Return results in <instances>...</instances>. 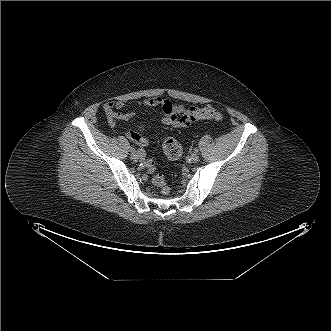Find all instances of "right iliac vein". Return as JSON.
Segmentation results:
<instances>
[{"mask_svg": "<svg viewBox=\"0 0 331 331\" xmlns=\"http://www.w3.org/2000/svg\"><path fill=\"white\" fill-rule=\"evenodd\" d=\"M131 158L135 161L139 160L141 158V154L139 152H133L131 154Z\"/></svg>", "mask_w": 331, "mask_h": 331, "instance_id": "1", "label": "right iliac vein"}]
</instances>
